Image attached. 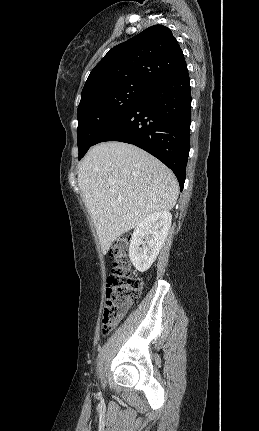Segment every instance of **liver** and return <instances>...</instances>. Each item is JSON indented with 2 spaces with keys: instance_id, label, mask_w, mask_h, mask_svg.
I'll return each instance as SVG.
<instances>
[{
  "instance_id": "obj_1",
  "label": "liver",
  "mask_w": 259,
  "mask_h": 431,
  "mask_svg": "<svg viewBox=\"0 0 259 431\" xmlns=\"http://www.w3.org/2000/svg\"><path fill=\"white\" fill-rule=\"evenodd\" d=\"M78 185L105 255L122 234L149 215L176 204L173 172L146 151L123 142L93 146L83 158Z\"/></svg>"
}]
</instances>
